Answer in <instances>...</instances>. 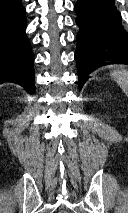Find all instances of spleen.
I'll list each match as a JSON object with an SVG mask.
<instances>
[{
    "label": "spleen",
    "mask_w": 128,
    "mask_h": 213,
    "mask_svg": "<svg viewBox=\"0 0 128 213\" xmlns=\"http://www.w3.org/2000/svg\"><path fill=\"white\" fill-rule=\"evenodd\" d=\"M111 76L114 77V80L128 97V71L123 68H119L111 72Z\"/></svg>",
    "instance_id": "obj_1"
}]
</instances>
